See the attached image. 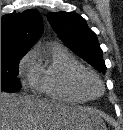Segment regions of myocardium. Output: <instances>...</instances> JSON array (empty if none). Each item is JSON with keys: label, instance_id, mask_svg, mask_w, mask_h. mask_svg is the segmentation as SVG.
<instances>
[{"label": "myocardium", "instance_id": "f54148a6", "mask_svg": "<svg viewBox=\"0 0 123 130\" xmlns=\"http://www.w3.org/2000/svg\"><path fill=\"white\" fill-rule=\"evenodd\" d=\"M76 84L87 99H95L103 92V83L100 77L88 69L77 75Z\"/></svg>", "mask_w": 123, "mask_h": 130}]
</instances>
